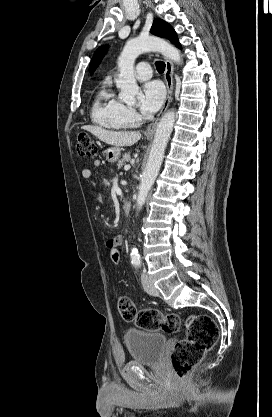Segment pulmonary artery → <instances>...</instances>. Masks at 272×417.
<instances>
[{
    "label": "pulmonary artery",
    "mask_w": 272,
    "mask_h": 417,
    "mask_svg": "<svg viewBox=\"0 0 272 417\" xmlns=\"http://www.w3.org/2000/svg\"><path fill=\"white\" fill-rule=\"evenodd\" d=\"M135 76L138 80L144 81L152 77V70L148 63L141 62L135 69Z\"/></svg>",
    "instance_id": "1"
}]
</instances>
